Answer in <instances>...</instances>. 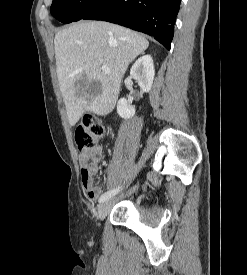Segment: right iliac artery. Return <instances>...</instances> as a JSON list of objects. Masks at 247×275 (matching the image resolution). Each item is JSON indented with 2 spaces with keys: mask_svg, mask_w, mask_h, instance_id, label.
<instances>
[{
  "mask_svg": "<svg viewBox=\"0 0 247 275\" xmlns=\"http://www.w3.org/2000/svg\"><path fill=\"white\" fill-rule=\"evenodd\" d=\"M120 188L121 187H118L116 189H113V190L103 193L99 198V203H103L106 200L110 199L112 196L116 195L120 191Z\"/></svg>",
  "mask_w": 247,
  "mask_h": 275,
  "instance_id": "right-iliac-artery-1",
  "label": "right iliac artery"
}]
</instances>
